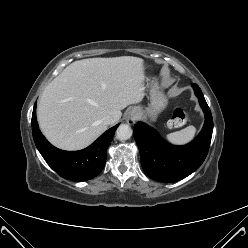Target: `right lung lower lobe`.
<instances>
[{"label": "right lung lower lobe", "mask_w": 248, "mask_h": 248, "mask_svg": "<svg viewBox=\"0 0 248 248\" xmlns=\"http://www.w3.org/2000/svg\"><path fill=\"white\" fill-rule=\"evenodd\" d=\"M118 125L107 130L83 150L63 151L52 146L40 132L36 119V103L32 114L33 139L44 160L61 177L74 181L90 180L101 172L106 162L107 147Z\"/></svg>", "instance_id": "right-lung-lower-lobe-1"}]
</instances>
